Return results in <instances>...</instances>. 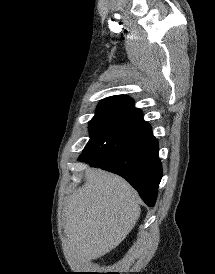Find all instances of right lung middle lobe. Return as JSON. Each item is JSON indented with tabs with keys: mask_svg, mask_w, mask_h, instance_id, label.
<instances>
[{
	"mask_svg": "<svg viewBox=\"0 0 215 274\" xmlns=\"http://www.w3.org/2000/svg\"><path fill=\"white\" fill-rule=\"evenodd\" d=\"M150 128L140 110L102 102L89 122L90 140L79 160L109 163Z\"/></svg>",
	"mask_w": 215,
	"mask_h": 274,
	"instance_id": "dd1d6c3e",
	"label": "right lung middle lobe"
}]
</instances>
